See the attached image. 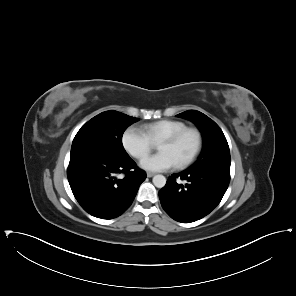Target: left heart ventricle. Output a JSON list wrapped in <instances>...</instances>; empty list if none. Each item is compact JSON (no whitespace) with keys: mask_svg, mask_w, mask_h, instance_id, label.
<instances>
[{"mask_svg":"<svg viewBox=\"0 0 296 296\" xmlns=\"http://www.w3.org/2000/svg\"><path fill=\"white\" fill-rule=\"evenodd\" d=\"M194 146V138L192 136L187 137L178 146L167 150L166 152L170 154L175 160L181 159L188 155Z\"/></svg>","mask_w":296,"mask_h":296,"instance_id":"obj_1","label":"left heart ventricle"}]
</instances>
